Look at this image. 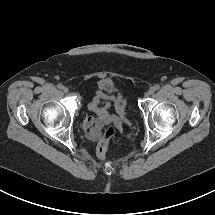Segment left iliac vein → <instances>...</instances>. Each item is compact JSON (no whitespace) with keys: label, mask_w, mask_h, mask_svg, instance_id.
I'll return each mask as SVG.
<instances>
[{"label":"left iliac vein","mask_w":215,"mask_h":215,"mask_svg":"<svg viewBox=\"0 0 215 215\" xmlns=\"http://www.w3.org/2000/svg\"><path fill=\"white\" fill-rule=\"evenodd\" d=\"M155 92V89L153 87L149 88V90L147 91L146 95L150 96Z\"/></svg>","instance_id":"obj_1"}]
</instances>
